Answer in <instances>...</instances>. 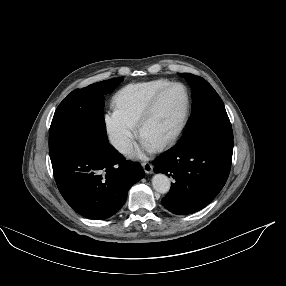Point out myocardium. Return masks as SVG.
Listing matches in <instances>:
<instances>
[{
  "label": "myocardium",
  "mask_w": 286,
  "mask_h": 286,
  "mask_svg": "<svg viewBox=\"0 0 286 286\" xmlns=\"http://www.w3.org/2000/svg\"><path fill=\"white\" fill-rule=\"evenodd\" d=\"M176 87L181 88L184 92L185 106H184L183 115H182L181 121H180L179 125L176 127V129L167 138H165L163 141L154 145V149L156 151L161 152V151H165V150L169 149L170 147H172L179 140V138L183 134V132H184V130L188 124L189 117H190V111H191V98H190V94H189L187 87L184 84L179 83V82H173V83H170L169 85L163 87L147 103L146 107L144 108V110H143L142 114L140 115L138 122H137L138 132L142 136L143 127H144L145 123L148 121V119L151 117V115L153 114V112H154L158 102L160 101V99L170 89H173Z\"/></svg>",
  "instance_id": "f54148a6"
}]
</instances>
